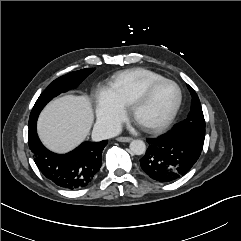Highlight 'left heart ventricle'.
<instances>
[{
	"label": "left heart ventricle",
	"instance_id": "b2bd125f",
	"mask_svg": "<svg viewBox=\"0 0 241 241\" xmlns=\"http://www.w3.org/2000/svg\"><path fill=\"white\" fill-rule=\"evenodd\" d=\"M178 99L177 88L170 83L157 87L148 100L137 110L136 121L140 124H159L165 121Z\"/></svg>",
	"mask_w": 241,
	"mask_h": 241
}]
</instances>
